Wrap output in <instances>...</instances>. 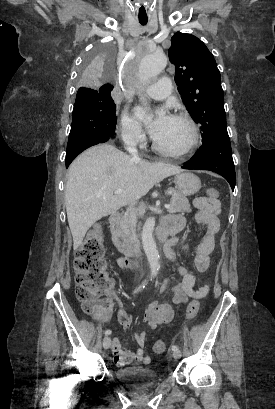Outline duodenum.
Wrapping results in <instances>:
<instances>
[{
    "label": "duodenum",
    "mask_w": 275,
    "mask_h": 409,
    "mask_svg": "<svg viewBox=\"0 0 275 409\" xmlns=\"http://www.w3.org/2000/svg\"><path fill=\"white\" fill-rule=\"evenodd\" d=\"M112 240L116 248L127 258L136 255V247L129 238L121 225V216L119 213H113L109 218ZM178 226L169 222H163L157 229V237L160 242H164L169 235L178 231Z\"/></svg>",
    "instance_id": "obj_1"
}]
</instances>
